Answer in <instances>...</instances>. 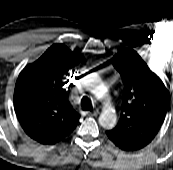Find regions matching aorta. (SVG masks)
Masks as SVG:
<instances>
[{"mask_svg": "<svg viewBox=\"0 0 173 170\" xmlns=\"http://www.w3.org/2000/svg\"><path fill=\"white\" fill-rule=\"evenodd\" d=\"M84 85L92 90L97 97H101L105 93V88L101 82V78L97 74H91L84 80ZM117 121L115 110L108 106L99 116V124L105 129H112Z\"/></svg>", "mask_w": 173, "mask_h": 170, "instance_id": "1", "label": "aorta"}]
</instances>
